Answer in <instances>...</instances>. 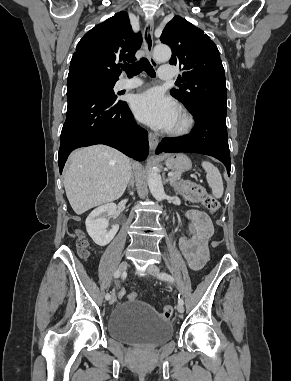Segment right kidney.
<instances>
[{"label": "right kidney", "instance_id": "obj_1", "mask_svg": "<svg viewBox=\"0 0 291 381\" xmlns=\"http://www.w3.org/2000/svg\"><path fill=\"white\" fill-rule=\"evenodd\" d=\"M116 216L117 206L114 203H108L97 207L86 219V230L92 240L99 246H105L111 242L119 230V225L114 224L109 229V222L105 215Z\"/></svg>", "mask_w": 291, "mask_h": 381}]
</instances>
